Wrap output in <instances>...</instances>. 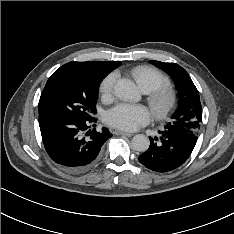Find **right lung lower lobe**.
<instances>
[{
    "label": "right lung lower lobe",
    "instance_id": "1",
    "mask_svg": "<svg viewBox=\"0 0 234 234\" xmlns=\"http://www.w3.org/2000/svg\"><path fill=\"white\" fill-rule=\"evenodd\" d=\"M96 121L93 117L81 119L63 116L40 120L43 143L50 158L72 172L90 167L96 161L102 145L112 136L106 128L99 132L96 129L89 130Z\"/></svg>",
    "mask_w": 234,
    "mask_h": 234
}]
</instances>
